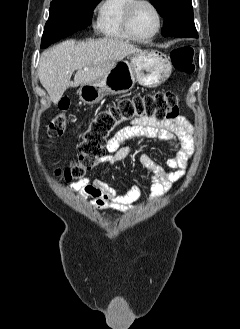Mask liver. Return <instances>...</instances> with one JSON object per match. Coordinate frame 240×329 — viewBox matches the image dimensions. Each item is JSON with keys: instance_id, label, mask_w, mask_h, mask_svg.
Here are the masks:
<instances>
[{"instance_id": "6515ba94", "label": "liver", "mask_w": 240, "mask_h": 329, "mask_svg": "<svg viewBox=\"0 0 240 329\" xmlns=\"http://www.w3.org/2000/svg\"><path fill=\"white\" fill-rule=\"evenodd\" d=\"M139 52L134 45L116 39L67 40L42 53L38 75L51 101L58 103L69 87L94 82L126 56ZM74 71L77 72L71 81Z\"/></svg>"}]
</instances>
